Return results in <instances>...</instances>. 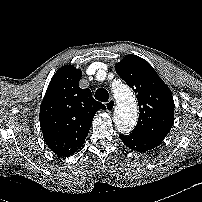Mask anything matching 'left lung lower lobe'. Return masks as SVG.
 <instances>
[{
  "label": "left lung lower lobe",
  "mask_w": 202,
  "mask_h": 202,
  "mask_svg": "<svg viewBox=\"0 0 202 202\" xmlns=\"http://www.w3.org/2000/svg\"><path fill=\"white\" fill-rule=\"evenodd\" d=\"M119 136L127 147L138 152H145L154 149L163 141L159 138L141 136L133 133H130V135L120 134Z\"/></svg>",
  "instance_id": "left-lung-lower-lobe-1"
}]
</instances>
